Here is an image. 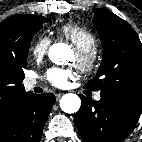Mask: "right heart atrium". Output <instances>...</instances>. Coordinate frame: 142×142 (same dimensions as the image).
<instances>
[{"instance_id":"1","label":"right heart atrium","mask_w":142,"mask_h":142,"mask_svg":"<svg viewBox=\"0 0 142 142\" xmlns=\"http://www.w3.org/2000/svg\"><path fill=\"white\" fill-rule=\"evenodd\" d=\"M51 42V38L46 35L38 36L30 48L32 57L37 61L42 60L47 55Z\"/></svg>"}]
</instances>
